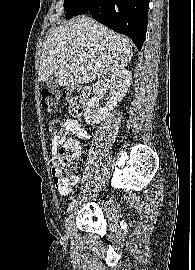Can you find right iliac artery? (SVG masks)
<instances>
[{"mask_svg": "<svg viewBox=\"0 0 195 270\" xmlns=\"http://www.w3.org/2000/svg\"><path fill=\"white\" fill-rule=\"evenodd\" d=\"M75 202H76V200H73V201L69 204V207H68V209H67L68 213H70L71 210L73 209Z\"/></svg>", "mask_w": 195, "mask_h": 270, "instance_id": "1", "label": "right iliac artery"}]
</instances>
